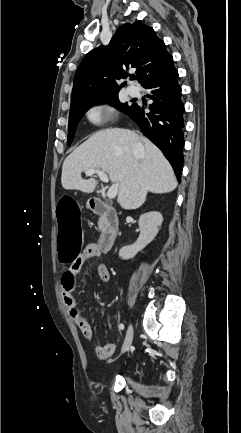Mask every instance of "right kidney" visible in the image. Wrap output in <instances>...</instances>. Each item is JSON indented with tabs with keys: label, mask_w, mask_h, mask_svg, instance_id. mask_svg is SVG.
I'll list each match as a JSON object with an SVG mask.
<instances>
[{
	"label": "right kidney",
	"mask_w": 241,
	"mask_h": 433,
	"mask_svg": "<svg viewBox=\"0 0 241 433\" xmlns=\"http://www.w3.org/2000/svg\"><path fill=\"white\" fill-rule=\"evenodd\" d=\"M162 222L163 216L160 212L151 211L142 214L138 222L140 229L139 238L135 244L122 247L119 251V256L124 260L133 258L139 251L154 240Z\"/></svg>",
	"instance_id": "obj_1"
}]
</instances>
